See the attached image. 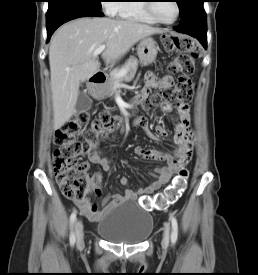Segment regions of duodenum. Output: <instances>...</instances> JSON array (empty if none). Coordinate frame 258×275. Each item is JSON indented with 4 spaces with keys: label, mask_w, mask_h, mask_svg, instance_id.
<instances>
[{
    "label": "duodenum",
    "mask_w": 258,
    "mask_h": 275,
    "mask_svg": "<svg viewBox=\"0 0 258 275\" xmlns=\"http://www.w3.org/2000/svg\"><path fill=\"white\" fill-rule=\"evenodd\" d=\"M105 80H106V75L103 71L95 72L90 78L91 93L94 97L99 96L100 88L104 84Z\"/></svg>",
    "instance_id": "duodenum-1"
}]
</instances>
